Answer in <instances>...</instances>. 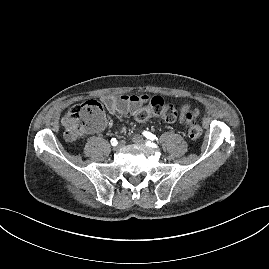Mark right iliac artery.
Listing matches in <instances>:
<instances>
[{
    "label": "right iliac artery",
    "instance_id": "obj_1",
    "mask_svg": "<svg viewBox=\"0 0 269 269\" xmlns=\"http://www.w3.org/2000/svg\"><path fill=\"white\" fill-rule=\"evenodd\" d=\"M111 144L114 146L115 144H118L116 138H112L111 139Z\"/></svg>",
    "mask_w": 269,
    "mask_h": 269
}]
</instances>
